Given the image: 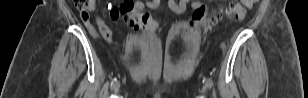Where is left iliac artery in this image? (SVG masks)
Listing matches in <instances>:
<instances>
[{
    "mask_svg": "<svg viewBox=\"0 0 308 98\" xmlns=\"http://www.w3.org/2000/svg\"><path fill=\"white\" fill-rule=\"evenodd\" d=\"M206 84H207L208 88H211V87L213 86V81H212V79H211V78H207V79H206Z\"/></svg>",
    "mask_w": 308,
    "mask_h": 98,
    "instance_id": "obj_1",
    "label": "left iliac artery"
}]
</instances>
